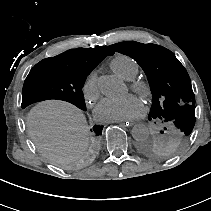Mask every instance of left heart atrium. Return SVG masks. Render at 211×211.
I'll list each match as a JSON object with an SVG mask.
<instances>
[{"label": "left heart atrium", "mask_w": 211, "mask_h": 211, "mask_svg": "<svg viewBox=\"0 0 211 211\" xmlns=\"http://www.w3.org/2000/svg\"><path fill=\"white\" fill-rule=\"evenodd\" d=\"M145 106L138 96L129 94L121 98H105L95 108V117L101 122L141 118Z\"/></svg>", "instance_id": "left-heart-atrium-1"}]
</instances>
